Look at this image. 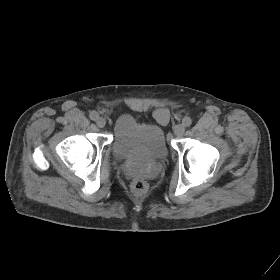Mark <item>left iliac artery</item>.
Segmentation results:
<instances>
[{
  "mask_svg": "<svg viewBox=\"0 0 280 280\" xmlns=\"http://www.w3.org/2000/svg\"><path fill=\"white\" fill-rule=\"evenodd\" d=\"M182 124L185 127H189L192 124L191 118L190 117H184L183 120H182Z\"/></svg>",
  "mask_w": 280,
  "mask_h": 280,
  "instance_id": "1",
  "label": "left iliac artery"
}]
</instances>
